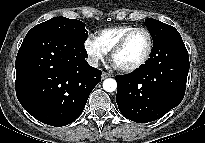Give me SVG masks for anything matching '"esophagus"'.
<instances>
[{
	"mask_svg": "<svg viewBox=\"0 0 205 143\" xmlns=\"http://www.w3.org/2000/svg\"><path fill=\"white\" fill-rule=\"evenodd\" d=\"M110 76H111V74H109L107 72H102V79L108 78Z\"/></svg>",
	"mask_w": 205,
	"mask_h": 143,
	"instance_id": "esophagus-1",
	"label": "esophagus"
}]
</instances>
